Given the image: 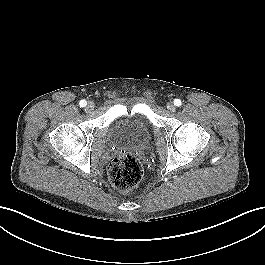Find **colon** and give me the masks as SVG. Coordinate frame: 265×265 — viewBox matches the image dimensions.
I'll return each instance as SVG.
<instances>
[{"mask_svg": "<svg viewBox=\"0 0 265 265\" xmlns=\"http://www.w3.org/2000/svg\"><path fill=\"white\" fill-rule=\"evenodd\" d=\"M108 175L111 183L122 192L134 190L143 176V168L137 158L120 154L110 163Z\"/></svg>", "mask_w": 265, "mask_h": 265, "instance_id": "1", "label": "colon"}]
</instances>
